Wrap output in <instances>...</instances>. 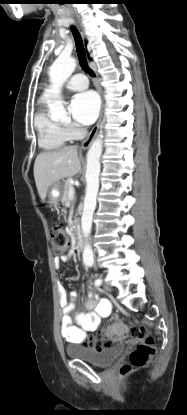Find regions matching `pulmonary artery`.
<instances>
[{
  "instance_id": "obj_1",
  "label": "pulmonary artery",
  "mask_w": 187,
  "mask_h": 415,
  "mask_svg": "<svg viewBox=\"0 0 187 415\" xmlns=\"http://www.w3.org/2000/svg\"><path fill=\"white\" fill-rule=\"evenodd\" d=\"M66 87L70 90L79 91L88 87V80L84 74H74L66 83Z\"/></svg>"
}]
</instances>
